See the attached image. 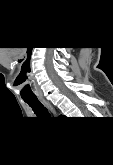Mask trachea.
<instances>
[{
    "label": "trachea",
    "mask_w": 113,
    "mask_h": 165,
    "mask_svg": "<svg viewBox=\"0 0 113 165\" xmlns=\"http://www.w3.org/2000/svg\"><path fill=\"white\" fill-rule=\"evenodd\" d=\"M34 111V113L39 117L50 116L47 109L40 103L39 100H24Z\"/></svg>",
    "instance_id": "trachea-1"
}]
</instances>
